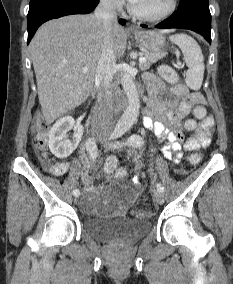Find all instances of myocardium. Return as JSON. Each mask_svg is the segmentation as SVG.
<instances>
[{
  "instance_id": "1",
  "label": "myocardium",
  "mask_w": 233,
  "mask_h": 284,
  "mask_svg": "<svg viewBox=\"0 0 233 284\" xmlns=\"http://www.w3.org/2000/svg\"><path fill=\"white\" fill-rule=\"evenodd\" d=\"M177 4H178L177 0H169L168 7L163 12L156 14V15L143 14V13L137 11L134 8L133 4H130L129 5V12L139 20L146 21V22H158V21H162V20L168 18L170 15H172L177 8Z\"/></svg>"
}]
</instances>
